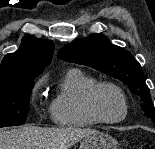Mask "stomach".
Instances as JSON below:
<instances>
[{
	"mask_svg": "<svg viewBox=\"0 0 155 149\" xmlns=\"http://www.w3.org/2000/svg\"><path fill=\"white\" fill-rule=\"evenodd\" d=\"M117 141L107 133L94 132L80 142L79 149H117Z\"/></svg>",
	"mask_w": 155,
	"mask_h": 149,
	"instance_id": "obj_1",
	"label": "stomach"
}]
</instances>
